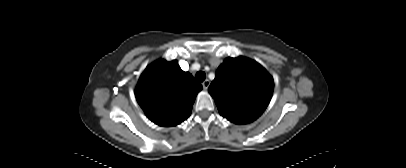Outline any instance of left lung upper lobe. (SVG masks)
I'll use <instances>...</instances> for the list:
<instances>
[{
	"label": "left lung upper lobe",
	"mask_w": 406,
	"mask_h": 168,
	"mask_svg": "<svg viewBox=\"0 0 406 168\" xmlns=\"http://www.w3.org/2000/svg\"><path fill=\"white\" fill-rule=\"evenodd\" d=\"M273 88V78L260 64L240 56L225 59L208 90L224 118L246 124L264 112Z\"/></svg>",
	"instance_id": "obj_1"
}]
</instances>
